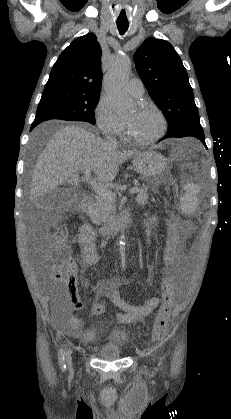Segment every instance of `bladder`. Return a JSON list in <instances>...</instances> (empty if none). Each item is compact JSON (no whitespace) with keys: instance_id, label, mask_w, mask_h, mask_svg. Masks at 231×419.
Wrapping results in <instances>:
<instances>
[{"instance_id":"1","label":"bladder","mask_w":231,"mask_h":419,"mask_svg":"<svg viewBox=\"0 0 231 419\" xmlns=\"http://www.w3.org/2000/svg\"><path fill=\"white\" fill-rule=\"evenodd\" d=\"M123 355V348L113 341L105 342L97 351V357L106 361L119 360Z\"/></svg>"}]
</instances>
